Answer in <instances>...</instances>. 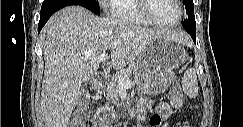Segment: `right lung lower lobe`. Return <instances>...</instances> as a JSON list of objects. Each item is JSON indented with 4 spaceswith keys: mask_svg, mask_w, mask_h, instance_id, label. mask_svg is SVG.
<instances>
[{
    "mask_svg": "<svg viewBox=\"0 0 243 127\" xmlns=\"http://www.w3.org/2000/svg\"><path fill=\"white\" fill-rule=\"evenodd\" d=\"M70 5H77L74 3L64 2L60 4H55L46 8H41V15H40V21L38 24V33L41 31L43 26L46 24L48 19L52 14H54L56 11L60 10L63 7L70 6Z\"/></svg>",
    "mask_w": 243,
    "mask_h": 127,
    "instance_id": "obj_1",
    "label": "right lung lower lobe"
}]
</instances>
